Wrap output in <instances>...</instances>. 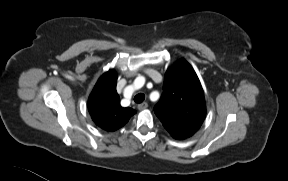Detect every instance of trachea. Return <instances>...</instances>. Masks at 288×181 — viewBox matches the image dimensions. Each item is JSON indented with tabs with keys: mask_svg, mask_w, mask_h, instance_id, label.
<instances>
[{
	"mask_svg": "<svg viewBox=\"0 0 288 181\" xmlns=\"http://www.w3.org/2000/svg\"><path fill=\"white\" fill-rule=\"evenodd\" d=\"M144 99H145V95L142 93H139L134 97V101L136 103H142L144 101Z\"/></svg>",
	"mask_w": 288,
	"mask_h": 181,
	"instance_id": "1",
	"label": "trachea"
}]
</instances>
